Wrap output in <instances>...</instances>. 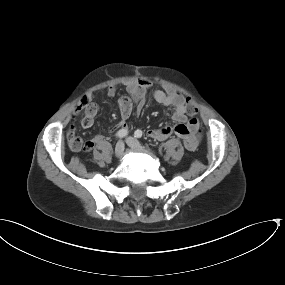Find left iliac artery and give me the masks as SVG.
Masks as SVG:
<instances>
[{
    "instance_id": "1",
    "label": "left iliac artery",
    "mask_w": 285,
    "mask_h": 285,
    "mask_svg": "<svg viewBox=\"0 0 285 285\" xmlns=\"http://www.w3.org/2000/svg\"><path fill=\"white\" fill-rule=\"evenodd\" d=\"M134 135H135L136 138H141L142 135H143V133H142L141 130H136V131L134 132Z\"/></svg>"
}]
</instances>
